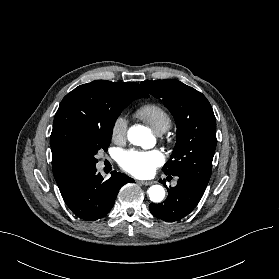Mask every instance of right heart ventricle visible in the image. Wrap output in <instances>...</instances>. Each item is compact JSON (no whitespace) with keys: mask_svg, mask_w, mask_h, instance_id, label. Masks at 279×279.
Wrapping results in <instances>:
<instances>
[{"mask_svg":"<svg viewBox=\"0 0 279 279\" xmlns=\"http://www.w3.org/2000/svg\"><path fill=\"white\" fill-rule=\"evenodd\" d=\"M135 114L158 134L165 132L171 126L169 113L159 104H144L136 110Z\"/></svg>","mask_w":279,"mask_h":279,"instance_id":"1","label":"right heart ventricle"}]
</instances>
